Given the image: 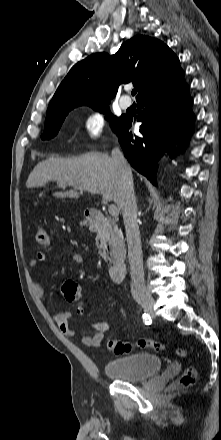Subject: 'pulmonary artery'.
I'll return each mask as SVG.
<instances>
[{
	"label": "pulmonary artery",
	"mask_w": 221,
	"mask_h": 440,
	"mask_svg": "<svg viewBox=\"0 0 221 440\" xmlns=\"http://www.w3.org/2000/svg\"><path fill=\"white\" fill-rule=\"evenodd\" d=\"M119 103H120L121 108L125 109V110L129 109L132 105V101L128 96L121 97Z\"/></svg>",
	"instance_id": "1"
}]
</instances>
